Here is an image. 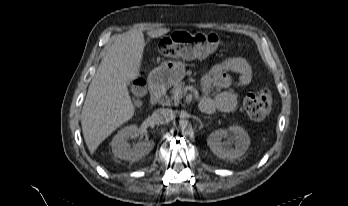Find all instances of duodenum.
<instances>
[{"label":"duodenum","instance_id":"duodenum-1","mask_svg":"<svg viewBox=\"0 0 348 206\" xmlns=\"http://www.w3.org/2000/svg\"><path fill=\"white\" fill-rule=\"evenodd\" d=\"M150 91H151V97H150V103L151 105L155 106L159 100L161 99L164 88L161 84L160 78H151L149 81Z\"/></svg>","mask_w":348,"mask_h":206}]
</instances>
